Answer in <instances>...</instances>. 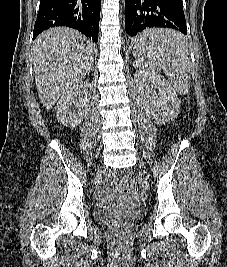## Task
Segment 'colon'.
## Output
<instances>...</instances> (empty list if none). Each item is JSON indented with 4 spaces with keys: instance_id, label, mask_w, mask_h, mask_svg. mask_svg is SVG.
<instances>
[{
    "instance_id": "5ec220e1",
    "label": "colon",
    "mask_w": 227,
    "mask_h": 267,
    "mask_svg": "<svg viewBox=\"0 0 227 267\" xmlns=\"http://www.w3.org/2000/svg\"><path fill=\"white\" fill-rule=\"evenodd\" d=\"M113 189L117 193H134L138 190V184L135 179L129 175L119 178H110Z\"/></svg>"
}]
</instances>
